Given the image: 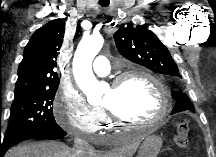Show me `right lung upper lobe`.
Instances as JSON below:
<instances>
[{"label": "right lung upper lobe", "mask_w": 216, "mask_h": 157, "mask_svg": "<svg viewBox=\"0 0 216 157\" xmlns=\"http://www.w3.org/2000/svg\"><path fill=\"white\" fill-rule=\"evenodd\" d=\"M64 30V20L55 19L32 35L18 67L15 96L27 91L58 87L60 80L55 68Z\"/></svg>", "instance_id": "1"}]
</instances>
